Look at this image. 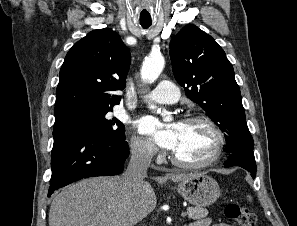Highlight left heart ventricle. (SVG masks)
Listing matches in <instances>:
<instances>
[{
    "instance_id": "left-heart-ventricle-1",
    "label": "left heart ventricle",
    "mask_w": 297,
    "mask_h": 226,
    "mask_svg": "<svg viewBox=\"0 0 297 226\" xmlns=\"http://www.w3.org/2000/svg\"><path fill=\"white\" fill-rule=\"evenodd\" d=\"M216 143L212 130L202 122L179 123L173 153L185 162H200L211 154Z\"/></svg>"
}]
</instances>
